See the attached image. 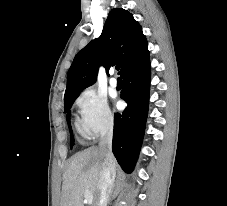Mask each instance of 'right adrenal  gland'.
Returning a JSON list of instances; mask_svg holds the SVG:
<instances>
[{"label": "right adrenal gland", "mask_w": 227, "mask_h": 206, "mask_svg": "<svg viewBox=\"0 0 227 206\" xmlns=\"http://www.w3.org/2000/svg\"><path fill=\"white\" fill-rule=\"evenodd\" d=\"M113 189H114V186H113ZM113 189H112V191H111V194H112V192H113Z\"/></svg>", "instance_id": "obj_1"}]
</instances>
